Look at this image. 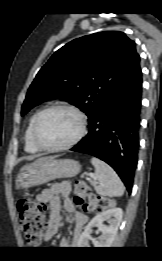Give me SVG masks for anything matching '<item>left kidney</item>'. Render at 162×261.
<instances>
[{
	"label": "left kidney",
	"mask_w": 162,
	"mask_h": 261,
	"mask_svg": "<svg viewBox=\"0 0 162 261\" xmlns=\"http://www.w3.org/2000/svg\"><path fill=\"white\" fill-rule=\"evenodd\" d=\"M123 211L121 208H111L97 214L85 227L79 237L77 247L88 248L90 234L93 227H97L101 232L99 240L94 241L93 245L96 248H108L112 245L118 231L120 222L122 221ZM107 221L109 225H104Z\"/></svg>",
	"instance_id": "1"
}]
</instances>
